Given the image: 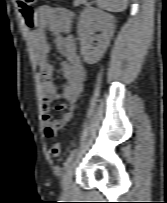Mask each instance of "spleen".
Returning a JSON list of instances; mask_svg holds the SVG:
<instances>
[{"label":"spleen","instance_id":"obj_1","mask_svg":"<svg viewBox=\"0 0 167 203\" xmlns=\"http://www.w3.org/2000/svg\"><path fill=\"white\" fill-rule=\"evenodd\" d=\"M98 7L110 12H121L127 7L128 0H96Z\"/></svg>","mask_w":167,"mask_h":203}]
</instances>
